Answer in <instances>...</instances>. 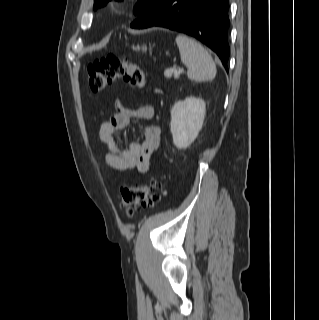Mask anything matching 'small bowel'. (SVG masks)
Returning <instances> with one entry per match:
<instances>
[{
    "instance_id": "obj_1",
    "label": "small bowel",
    "mask_w": 319,
    "mask_h": 320,
    "mask_svg": "<svg viewBox=\"0 0 319 320\" xmlns=\"http://www.w3.org/2000/svg\"><path fill=\"white\" fill-rule=\"evenodd\" d=\"M115 107L116 112L98 128L99 140L108 147V151L104 154V163L113 172H123L134 168L143 173L147 172L150 159L160 144V127L146 126L142 142H133L128 147L122 146L120 131L125 129L133 119H152L154 110L149 105L128 108L119 100H116Z\"/></svg>"
}]
</instances>
